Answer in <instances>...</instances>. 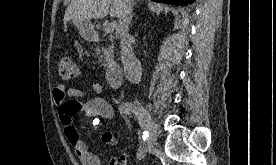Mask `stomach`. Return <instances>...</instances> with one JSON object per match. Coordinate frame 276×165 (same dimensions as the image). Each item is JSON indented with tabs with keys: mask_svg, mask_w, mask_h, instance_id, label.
I'll return each instance as SVG.
<instances>
[{
	"mask_svg": "<svg viewBox=\"0 0 276 165\" xmlns=\"http://www.w3.org/2000/svg\"><path fill=\"white\" fill-rule=\"evenodd\" d=\"M72 22L79 29V33L81 34V36L85 40L92 41L95 38L96 32H95L94 27H93V25H92V23H91L90 20H87V19H84V20L76 19V20H72Z\"/></svg>",
	"mask_w": 276,
	"mask_h": 165,
	"instance_id": "0dacf381",
	"label": "stomach"
}]
</instances>
